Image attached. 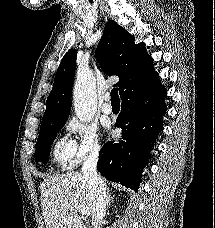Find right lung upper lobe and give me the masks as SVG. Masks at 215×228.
Masks as SVG:
<instances>
[{"label":"right lung upper lobe","mask_w":215,"mask_h":228,"mask_svg":"<svg viewBox=\"0 0 215 228\" xmlns=\"http://www.w3.org/2000/svg\"><path fill=\"white\" fill-rule=\"evenodd\" d=\"M135 38L113 20H110L96 49V59L108 75H117L120 96L129 83L157 74L153 59L147 54L145 44H135ZM75 49L69 50L61 60L56 72L41 126L66 122L71 110L72 84L76 68Z\"/></svg>","instance_id":"1"}]
</instances>
